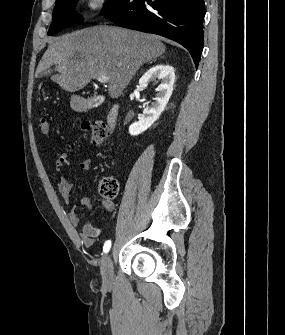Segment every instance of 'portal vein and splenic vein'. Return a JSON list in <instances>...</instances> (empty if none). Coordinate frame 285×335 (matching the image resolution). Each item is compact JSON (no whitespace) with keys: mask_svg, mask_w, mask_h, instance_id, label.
Instances as JSON below:
<instances>
[{"mask_svg":"<svg viewBox=\"0 0 285 335\" xmlns=\"http://www.w3.org/2000/svg\"><path fill=\"white\" fill-rule=\"evenodd\" d=\"M97 80H98V82H100V84H107L109 78H108V76H100V74H99Z\"/></svg>","mask_w":285,"mask_h":335,"instance_id":"1","label":"portal vein and splenic vein"}]
</instances>
